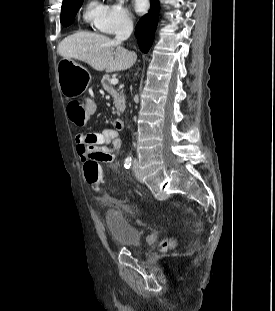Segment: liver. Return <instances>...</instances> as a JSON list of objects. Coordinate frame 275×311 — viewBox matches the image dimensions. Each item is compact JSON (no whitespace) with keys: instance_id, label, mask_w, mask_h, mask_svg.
<instances>
[{"instance_id":"1","label":"liver","mask_w":275,"mask_h":311,"mask_svg":"<svg viewBox=\"0 0 275 311\" xmlns=\"http://www.w3.org/2000/svg\"><path fill=\"white\" fill-rule=\"evenodd\" d=\"M58 53L65 59H77L97 71L112 73L131 68L137 55L120 46L109 37L87 31H79L64 38L58 45Z\"/></svg>"}]
</instances>
